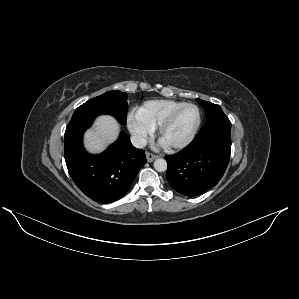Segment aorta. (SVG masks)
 I'll return each mask as SVG.
<instances>
[{
  "mask_svg": "<svg viewBox=\"0 0 299 299\" xmlns=\"http://www.w3.org/2000/svg\"><path fill=\"white\" fill-rule=\"evenodd\" d=\"M154 168L158 172H164L167 169V162L165 159H156L154 162Z\"/></svg>",
  "mask_w": 299,
  "mask_h": 299,
  "instance_id": "762f6f07",
  "label": "aorta"
}]
</instances>
